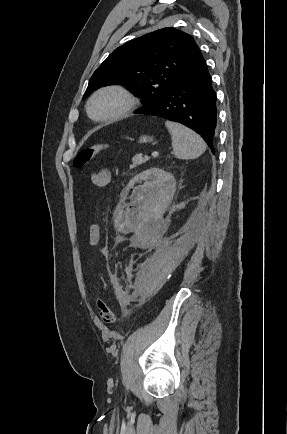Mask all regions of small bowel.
Returning a JSON list of instances; mask_svg holds the SVG:
<instances>
[{"label":"small bowel","instance_id":"c3829d8e","mask_svg":"<svg viewBox=\"0 0 287 434\" xmlns=\"http://www.w3.org/2000/svg\"><path fill=\"white\" fill-rule=\"evenodd\" d=\"M92 183L97 187H105L111 181V172L109 170H100L93 173L91 176ZM100 242V228L98 225L93 224L89 228V243L95 247Z\"/></svg>","mask_w":287,"mask_h":434}]
</instances>
